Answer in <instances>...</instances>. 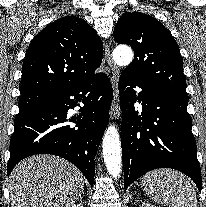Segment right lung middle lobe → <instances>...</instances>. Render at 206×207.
<instances>
[{
    "label": "right lung middle lobe",
    "instance_id": "right-lung-middle-lobe-1",
    "mask_svg": "<svg viewBox=\"0 0 206 207\" xmlns=\"http://www.w3.org/2000/svg\"><path fill=\"white\" fill-rule=\"evenodd\" d=\"M46 98L45 94H35L20 97L19 99V113L27 111L44 102Z\"/></svg>",
    "mask_w": 206,
    "mask_h": 207
}]
</instances>
